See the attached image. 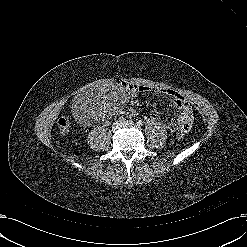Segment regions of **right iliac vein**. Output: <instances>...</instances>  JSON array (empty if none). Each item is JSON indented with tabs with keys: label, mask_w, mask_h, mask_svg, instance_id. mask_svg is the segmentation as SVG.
Returning <instances> with one entry per match:
<instances>
[{
	"label": "right iliac vein",
	"mask_w": 247,
	"mask_h": 247,
	"mask_svg": "<svg viewBox=\"0 0 247 247\" xmlns=\"http://www.w3.org/2000/svg\"><path fill=\"white\" fill-rule=\"evenodd\" d=\"M121 125H122V123H120V122H115V123L113 124V126H112V129H113V130H116V129H118Z\"/></svg>",
	"instance_id": "right-iliac-vein-1"
}]
</instances>
